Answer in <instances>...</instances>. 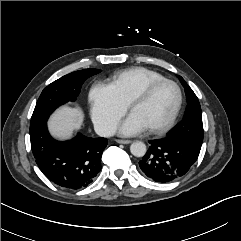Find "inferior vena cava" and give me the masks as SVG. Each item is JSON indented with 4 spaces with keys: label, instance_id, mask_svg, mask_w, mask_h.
I'll use <instances>...</instances> for the list:
<instances>
[{
    "label": "inferior vena cava",
    "instance_id": "602c4592",
    "mask_svg": "<svg viewBox=\"0 0 241 241\" xmlns=\"http://www.w3.org/2000/svg\"><path fill=\"white\" fill-rule=\"evenodd\" d=\"M95 132L101 137L113 136L116 132V125L112 124H99L95 125Z\"/></svg>",
    "mask_w": 241,
    "mask_h": 241
}]
</instances>
